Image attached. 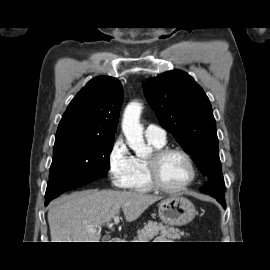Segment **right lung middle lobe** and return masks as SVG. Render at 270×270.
Wrapping results in <instances>:
<instances>
[{"label":"right lung middle lobe","mask_w":270,"mask_h":270,"mask_svg":"<svg viewBox=\"0 0 270 270\" xmlns=\"http://www.w3.org/2000/svg\"><path fill=\"white\" fill-rule=\"evenodd\" d=\"M113 142L114 138L56 136L45 197L56 198L105 175Z\"/></svg>","instance_id":"right-lung-middle-lobe-1"}]
</instances>
